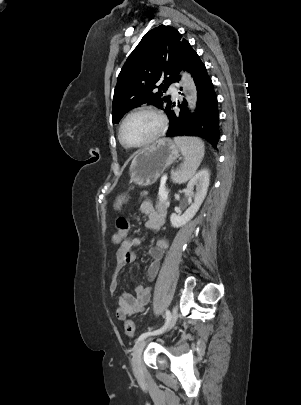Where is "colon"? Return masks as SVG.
<instances>
[{"instance_id": "obj_1", "label": "colon", "mask_w": 301, "mask_h": 405, "mask_svg": "<svg viewBox=\"0 0 301 405\" xmlns=\"http://www.w3.org/2000/svg\"><path fill=\"white\" fill-rule=\"evenodd\" d=\"M116 228L117 232L113 234L111 237V242L114 247L118 248L121 246L122 242L124 241V237L128 234L131 223L128 219L124 217H119L116 220ZM125 333L133 338L135 336V325L132 320L128 319L125 321L124 324Z\"/></svg>"}]
</instances>
